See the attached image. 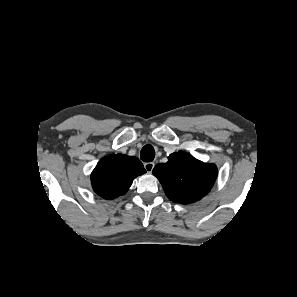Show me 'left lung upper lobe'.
I'll use <instances>...</instances> for the list:
<instances>
[{"mask_svg": "<svg viewBox=\"0 0 297 297\" xmlns=\"http://www.w3.org/2000/svg\"><path fill=\"white\" fill-rule=\"evenodd\" d=\"M153 174L169 199L189 204L210 191L217 177V168L180 151L171 154L167 163L156 165Z\"/></svg>", "mask_w": 297, "mask_h": 297, "instance_id": "5c2ea615", "label": "left lung upper lobe"}]
</instances>
